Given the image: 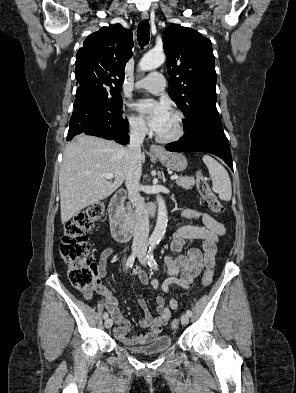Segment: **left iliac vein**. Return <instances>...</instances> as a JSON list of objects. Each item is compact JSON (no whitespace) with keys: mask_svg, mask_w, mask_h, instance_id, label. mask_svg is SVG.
<instances>
[{"mask_svg":"<svg viewBox=\"0 0 296 393\" xmlns=\"http://www.w3.org/2000/svg\"><path fill=\"white\" fill-rule=\"evenodd\" d=\"M138 260L142 265L146 264V249L142 248L138 253ZM182 325H187L189 323V316L187 314H182L181 316Z\"/></svg>","mask_w":296,"mask_h":393,"instance_id":"obj_1","label":"left iliac vein"}]
</instances>
